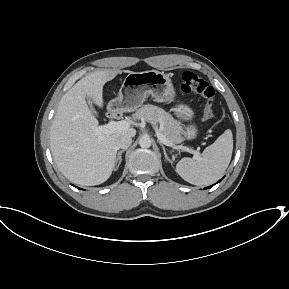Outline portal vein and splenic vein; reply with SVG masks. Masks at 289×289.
Instances as JSON below:
<instances>
[{
  "label": "portal vein and splenic vein",
  "mask_w": 289,
  "mask_h": 289,
  "mask_svg": "<svg viewBox=\"0 0 289 289\" xmlns=\"http://www.w3.org/2000/svg\"><path fill=\"white\" fill-rule=\"evenodd\" d=\"M129 127H130V123L128 121H126V120L110 121L108 124L96 127L95 132L98 135L110 134V133H114V132H117V131L127 130ZM154 129L156 130L157 138L163 144H165L167 146H173V143L169 142L167 140V138L162 134L161 128L158 129L156 126H154ZM193 154H194V159H198L200 157L198 151H193Z\"/></svg>",
  "instance_id": "obj_1"
}]
</instances>
